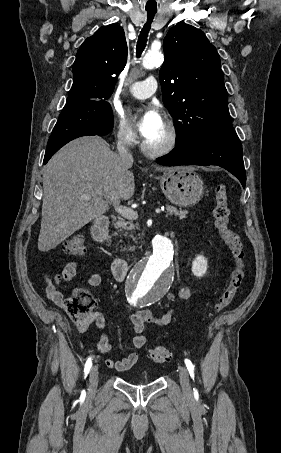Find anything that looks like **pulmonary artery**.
Masks as SVG:
<instances>
[{
    "mask_svg": "<svg viewBox=\"0 0 281 453\" xmlns=\"http://www.w3.org/2000/svg\"><path fill=\"white\" fill-rule=\"evenodd\" d=\"M156 87L157 80L154 77H148L132 84L129 91L136 98H148L154 93Z\"/></svg>",
    "mask_w": 281,
    "mask_h": 453,
    "instance_id": "1",
    "label": "pulmonary artery"
}]
</instances>
